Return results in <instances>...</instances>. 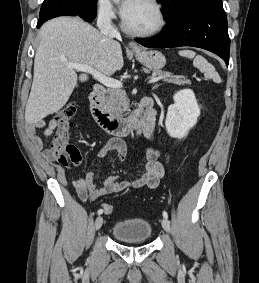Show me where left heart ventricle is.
<instances>
[{"label": "left heart ventricle", "mask_w": 259, "mask_h": 283, "mask_svg": "<svg viewBox=\"0 0 259 283\" xmlns=\"http://www.w3.org/2000/svg\"><path fill=\"white\" fill-rule=\"evenodd\" d=\"M124 18L129 27L140 31L152 29L158 23L156 10L145 0H138L132 11Z\"/></svg>", "instance_id": "b2bd125f"}]
</instances>
